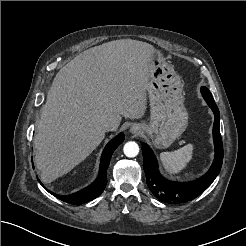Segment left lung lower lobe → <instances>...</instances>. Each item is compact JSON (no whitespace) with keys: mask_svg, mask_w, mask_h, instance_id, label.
I'll use <instances>...</instances> for the list:
<instances>
[{"mask_svg":"<svg viewBox=\"0 0 246 246\" xmlns=\"http://www.w3.org/2000/svg\"><path fill=\"white\" fill-rule=\"evenodd\" d=\"M201 93L215 115L213 125L215 159L211 168L205 175L191 182L168 181L159 174L157 161L152 150L146 144L143 145V168L146 174L148 187L152 193L163 202L183 203L193 200L212 184L220 172L223 162V144L219 127L220 113L209 89L201 87Z\"/></svg>","mask_w":246,"mask_h":246,"instance_id":"0a47b994","label":"left lung lower lobe"}]
</instances>
